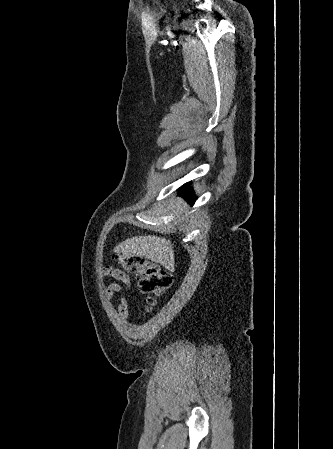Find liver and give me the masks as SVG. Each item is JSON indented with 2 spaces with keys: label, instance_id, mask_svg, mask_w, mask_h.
I'll use <instances>...</instances> for the list:
<instances>
[{
  "label": "liver",
  "instance_id": "1",
  "mask_svg": "<svg viewBox=\"0 0 333 449\" xmlns=\"http://www.w3.org/2000/svg\"><path fill=\"white\" fill-rule=\"evenodd\" d=\"M187 207V203L183 202L177 207V212L182 213ZM116 253L124 252L144 256L156 263L168 268H174L173 246L170 240L157 236H138L124 240L114 249Z\"/></svg>",
  "mask_w": 333,
  "mask_h": 449
}]
</instances>
